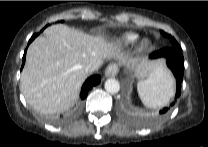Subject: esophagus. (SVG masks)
Listing matches in <instances>:
<instances>
[{"mask_svg": "<svg viewBox=\"0 0 208 147\" xmlns=\"http://www.w3.org/2000/svg\"><path fill=\"white\" fill-rule=\"evenodd\" d=\"M119 71V66L116 63H111L107 66L105 70V75L107 77H114Z\"/></svg>", "mask_w": 208, "mask_h": 147, "instance_id": "obj_1", "label": "esophagus"}]
</instances>
